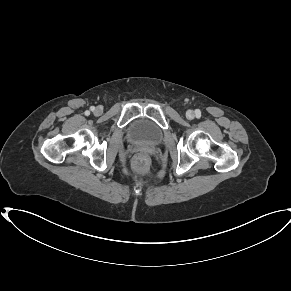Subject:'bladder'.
I'll use <instances>...</instances> for the list:
<instances>
[{"label":"bladder","instance_id":"1","mask_svg":"<svg viewBox=\"0 0 291 291\" xmlns=\"http://www.w3.org/2000/svg\"><path fill=\"white\" fill-rule=\"evenodd\" d=\"M128 137L134 142L156 145L162 140L163 131L150 120L138 119L129 127Z\"/></svg>","mask_w":291,"mask_h":291}]
</instances>
